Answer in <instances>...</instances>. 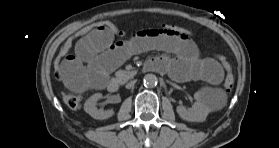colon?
I'll return each instance as SVG.
<instances>
[{
    "label": "colon",
    "instance_id": "5ec220e1",
    "mask_svg": "<svg viewBox=\"0 0 279 148\" xmlns=\"http://www.w3.org/2000/svg\"><path fill=\"white\" fill-rule=\"evenodd\" d=\"M96 29L109 31L116 36L126 35V31L123 28L118 26L116 23L108 20L98 21L83 27L73 36L69 37L61 46L54 61L55 74L57 77H60V66L62 61L71 53L76 40ZM149 29H158L170 34L180 36L181 38L193 40L192 33L188 29L179 25L162 24L157 27L149 28ZM149 29H143V30H149ZM214 57L223 65V67L226 70L224 88L226 92L230 93L233 90L235 84V79L231 67L222 56L218 54H214ZM62 99L64 103L72 110H78L81 107L83 101L81 95L72 94V93H63Z\"/></svg>",
    "mask_w": 279,
    "mask_h": 148
}]
</instances>
